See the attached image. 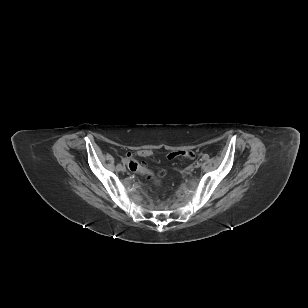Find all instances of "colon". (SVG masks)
Masks as SVG:
<instances>
[{"label":"colon","mask_w":308,"mask_h":308,"mask_svg":"<svg viewBox=\"0 0 308 308\" xmlns=\"http://www.w3.org/2000/svg\"><path fill=\"white\" fill-rule=\"evenodd\" d=\"M140 157H150L152 155V151L150 150H140L137 153ZM178 157H184V158H192L193 157V152L189 150H183V151H176V152H171L168 154V159H175ZM125 162H129L128 167L129 169L137 173L139 175H142L146 177L147 179L154 180V181H159L163 176L164 172H153L149 168H147L144 164L131 159L130 160V155H128L125 158Z\"/></svg>","instance_id":"1"}]
</instances>
